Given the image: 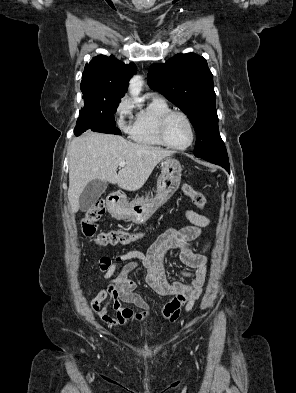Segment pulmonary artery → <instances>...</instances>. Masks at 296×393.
Masks as SVG:
<instances>
[{"label": "pulmonary artery", "instance_id": "pulmonary-artery-1", "mask_svg": "<svg viewBox=\"0 0 296 393\" xmlns=\"http://www.w3.org/2000/svg\"><path fill=\"white\" fill-rule=\"evenodd\" d=\"M155 97H156V98H159V99H161V100H164L162 97H159V96H157V95H156Z\"/></svg>", "mask_w": 296, "mask_h": 393}]
</instances>
